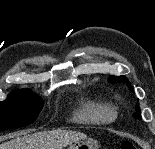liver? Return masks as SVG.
<instances>
[{"mask_svg": "<svg viewBox=\"0 0 155 149\" xmlns=\"http://www.w3.org/2000/svg\"><path fill=\"white\" fill-rule=\"evenodd\" d=\"M84 138H86L84 133L57 129L18 136L0 144V149H63Z\"/></svg>", "mask_w": 155, "mask_h": 149, "instance_id": "liver-1", "label": "liver"}]
</instances>
